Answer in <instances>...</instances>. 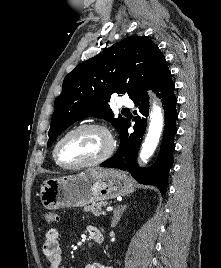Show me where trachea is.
Wrapping results in <instances>:
<instances>
[{
	"label": "trachea",
	"mask_w": 221,
	"mask_h": 268,
	"mask_svg": "<svg viewBox=\"0 0 221 268\" xmlns=\"http://www.w3.org/2000/svg\"><path fill=\"white\" fill-rule=\"evenodd\" d=\"M124 111H128V109H124Z\"/></svg>",
	"instance_id": "3493384b"
}]
</instances>
